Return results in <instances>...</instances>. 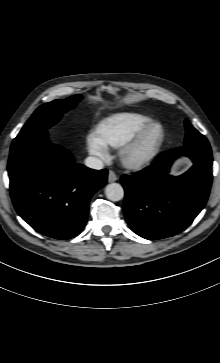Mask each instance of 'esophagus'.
Here are the masks:
<instances>
[{"mask_svg":"<svg viewBox=\"0 0 220 363\" xmlns=\"http://www.w3.org/2000/svg\"><path fill=\"white\" fill-rule=\"evenodd\" d=\"M118 179L117 175L112 171L110 170L109 173H108V182H114Z\"/></svg>","mask_w":220,"mask_h":363,"instance_id":"34e87169","label":"esophagus"}]
</instances>
